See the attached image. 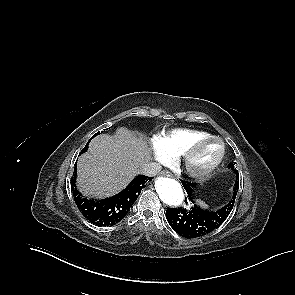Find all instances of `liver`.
Returning a JSON list of instances; mask_svg holds the SVG:
<instances>
[{
  "label": "liver",
  "instance_id": "obj_1",
  "mask_svg": "<svg viewBox=\"0 0 295 295\" xmlns=\"http://www.w3.org/2000/svg\"><path fill=\"white\" fill-rule=\"evenodd\" d=\"M88 150L77 163L78 186L86 196L101 198L119 192L151 159L144 139L124 127L114 136L95 137Z\"/></svg>",
  "mask_w": 295,
  "mask_h": 295
}]
</instances>
